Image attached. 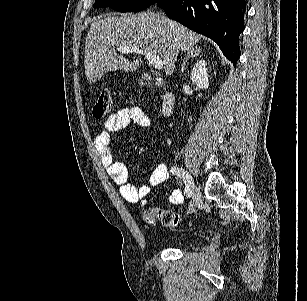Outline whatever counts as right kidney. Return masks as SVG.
Instances as JSON below:
<instances>
[{
  "instance_id": "ca27d5eb",
  "label": "right kidney",
  "mask_w": 307,
  "mask_h": 301,
  "mask_svg": "<svg viewBox=\"0 0 307 301\" xmlns=\"http://www.w3.org/2000/svg\"><path fill=\"white\" fill-rule=\"evenodd\" d=\"M190 80L196 86H199V88H209V74L206 60H197L191 70Z\"/></svg>"
}]
</instances>
